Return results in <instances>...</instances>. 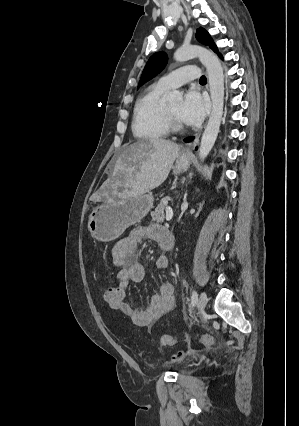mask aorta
I'll return each instance as SVG.
<instances>
[{"label":"aorta","mask_w":299,"mask_h":426,"mask_svg":"<svg viewBox=\"0 0 299 426\" xmlns=\"http://www.w3.org/2000/svg\"><path fill=\"white\" fill-rule=\"evenodd\" d=\"M196 57L206 67L212 101V111L199 148V157L203 161L213 148L221 125L224 107V73L218 57L204 47L189 45L179 48L174 53V58L178 62ZM167 99L170 102L181 101L182 93L177 90L171 91L167 95Z\"/></svg>","instance_id":"1"}]
</instances>
